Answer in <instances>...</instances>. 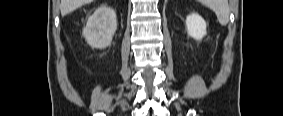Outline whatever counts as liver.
Masks as SVG:
<instances>
[{
	"label": "liver",
	"mask_w": 283,
	"mask_h": 116,
	"mask_svg": "<svg viewBox=\"0 0 283 116\" xmlns=\"http://www.w3.org/2000/svg\"><path fill=\"white\" fill-rule=\"evenodd\" d=\"M92 2V0H61L60 10L61 15L65 16L77 8L81 7L84 4H88Z\"/></svg>",
	"instance_id": "6515ba94"
}]
</instances>
